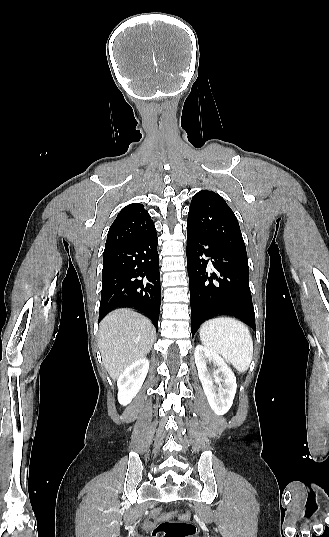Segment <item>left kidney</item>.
<instances>
[{
	"label": "left kidney",
	"instance_id": "5707ae66",
	"mask_svg": "<svg viewBox=\"0 0 329 537\" xmlns=\"http://www.w3.org/2000/svg\"><path fill=\"white\" fill-rule=\"evenodd\" d=\"M194 357L211 409L216 415H224L230 409L236 393L237 384L233 371L220 355L202 345L196 346ZM207 362H212L217 367L213 374L209 372Z\"/></svg>",
	"mask_w": 329,
	"mask_h": 537
}]
</instances>
